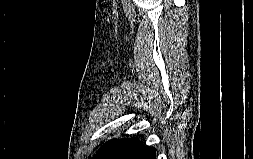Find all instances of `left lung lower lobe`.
I'll use <instances>...</instances> for the list:
<instances>
[{
	"mask_svg": "<svg viewBox=\"0 0 253 159\" xmlns=\"http://www.w3.org/2000/svg\"><path fill=\"white\" fill-rule=\"evenodd\" d=\"M155 157V148L144 146L135 138L109 141L92 159H155Z\"/></svg>",
	"mask_w": 253,
	"mask_h": 159,
	"instance_id": "0a47b994",
	"label": "left lung lower lobe"
}]
</instances>
